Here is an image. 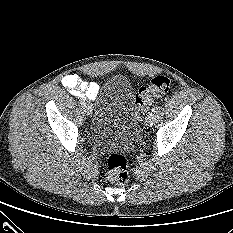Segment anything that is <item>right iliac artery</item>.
<instances>
[{
  "label": "right iliac artery",
  "instance_id": "82829eb1",
  "mask_svg": "<svg viewBox=\"0 0 233 233\" xmlns=\"http://www.w3.org/2000/svg\"><path fill=\"white\" fill-rule=\"evenodd\" d=\"M79 103H80L81 105H85V100H84V99H80V100H79Z\"/></svg>",
  "mask_w": 233,
  "mask_h": 233
}]
</instances>
